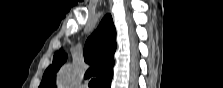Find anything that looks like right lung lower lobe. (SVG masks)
I'll list each match as a JSON object with an SVG mask.
<instances>
[{"label":"right lung lower lobe","instance_id":"1","mask_svg":"<svg viewBox=\"0 0 223 88\" xmlns=\"http://www.w3.org/2000/svg\"><path fill=\"white\" fill-rule=\"evenodd\" d=\"M111 79L108 81H105L104 83L97 85L98 88H110Z\"/></svg>","mask_w":223,"mask_h":88}]
</instances>
